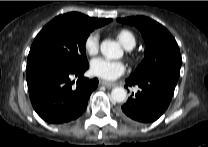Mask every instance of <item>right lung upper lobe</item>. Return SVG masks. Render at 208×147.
I'll use <instances>...</instances> for the list:
<instances>
[{"label":"right lung upper lobe","instance_id":"1","mask_svg":"<svg viewBox=\"0 0 208 147\" xmlns=\"http://www.w3.org/2000/svg\"><path fill=\"white\" fill-rule=\"evenodd\" d=\"M55 19H71V20H76V21H79L88 25L95 26V27L103 26L111 21V19H105V18H90L78 12H70L67 14H62V15L57 16Z\"/></svg>","mask_w":208,"mask_h":147}]
</instances>
